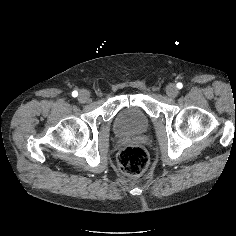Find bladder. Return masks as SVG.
<instances>
[{
  "instance_id": "obj_1",
  "label": "bladder",
  "mask_w": 236,
  "mask_h": 236,
  "mask_svg": "<svg viewBox=\"0 0 236 236\" xmlns=\"http://www.w3.org/2000/svg\"><path fill=\"white\" fill-rule=\"evenodd\" d=\"M150 126L148 114L138 105H126L115 116L113 127L119 135L142 134Z\"/></svg>"
}]
</instances>
